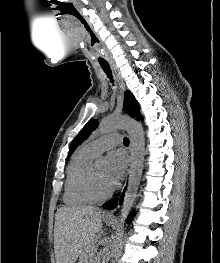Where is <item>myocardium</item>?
Instances as JSON below:
<instances>
[{
    "label": "myocardium",
    "instance_id": "1",
    "mask_svg": "<svg viewBox=\"0 0 220 263\" xmlns=\"http://www.w3.org/2000/svg\"><path fill=\"white\" fill-rule=\"evenodd\" d=\"M84 188L87 194L94 200H104L108 197H110L115 188L112 186L109 190L105 192H101L98 190L95 182V175H94V164L92 163L85 175L84 179Z\"/></svg>",
    "mask_w": 220,
    "mask_h": 263
}]
</instances>
